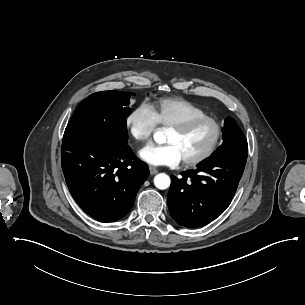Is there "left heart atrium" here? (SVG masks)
Segmentation results:
<instances>
[{"mask_svg":"<svg viewBox=\"0 0 305 305\" xmlns=\"http://www.w3.org/2000/svg\"><path fill=\"white\" fill-rule=\"evenodd\" d=\"M139 156L151 165H176L182 160L180 151L171 143L145 146L139 151Z\"/></svg>","mask_w":305,"mask_h":305,"instance_id":"1","label":"left heart atrium"}]
</instances>
